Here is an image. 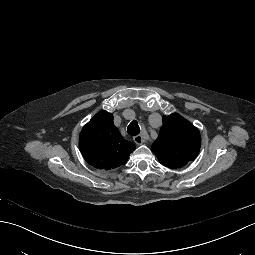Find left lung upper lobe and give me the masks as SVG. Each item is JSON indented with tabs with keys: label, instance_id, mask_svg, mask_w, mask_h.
I'll list each match as a JSON object with an SVG mask.
<instances>
[{
	"label": "left lung upper lobe",
	"instance_id": "1",
	"mask_svg": "<svg viewBox=\"0 0 255 255\" xmlns=\"http://www.w3.org/2000/svg\"><path fill=\"white\" fill-rule=\"evenodd\" d=\"M200 145L198 128L174 113L163 117V125L151 150L162 165L180 168L196 158Z\"/></svg>",
	"mask_w": 255,
	"mask_h": 255
}]
</instances>
